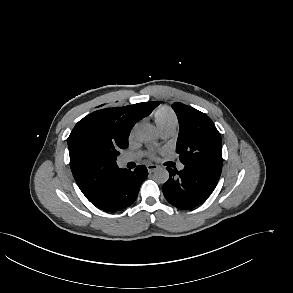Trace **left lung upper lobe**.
<instances>
[{"instance_id": "5c2ea615", "label": "left lung upper lobe", "mask_w": 293, "mask_h": 293, "mask_svg": "<svg viewBox=\"0 0 293 293\" xmlns=\"http://www.w3.org/2000/svg\"><path fill=\"white\" fill-rule=\"evenodd\" d=\"M178 121L176 152L183 164L209 165L222 170V140L212 120L204 113L176 102Z\"/></svg>"}]
</instances>
